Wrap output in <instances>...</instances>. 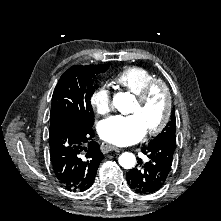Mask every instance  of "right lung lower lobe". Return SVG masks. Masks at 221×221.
Wrapping results in <instances>:
<instances>
[{"mask_svg": "<svg viewBox=\"0 0 221 221\" xmlns=\"http://www.w3.org/2000/svg\"><path fill=\"white\" fill-rule=\"evenodd\" d=\"M92 126L64 124L49 131L53 170L61 185L69 191L90 188L104 158L99 144L89 141L94 137Z\"/></svg>", "mask_w": 221, "mask_h": 221, "instance_id": "1", "label": "right lung lower lobe"}]
</instances>
